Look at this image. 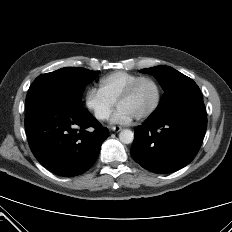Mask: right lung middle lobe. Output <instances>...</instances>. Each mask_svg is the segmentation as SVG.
<instances>
[{
    "label": "right lung middle lobe",
    "mask_w": 232,
    "mask_h": 232,
    "mask_svg": "<svg viewBox=\"0 0 232 232\" xmlns=\"http://www.w3.org/2000/svg\"><path fill=\"white\" fill-rule=\"evenodd\" d=\"M98 73L84 68L66 67L42 74L31 84L25 108L37 104L81 107L83 91Z\"/></svg>",
    "instance_id": "right-lung-middle-lobe-1"
}]
</instances>
